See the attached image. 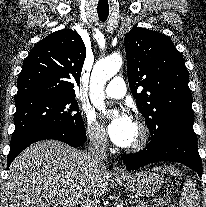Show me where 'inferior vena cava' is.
I'll return each instance as SVG.
<instances>
[{
	"label": "inferior vena cava",
	"mask_w": 206,
	"mask_h": 207,
	"mask_svg": "<svg viewBox=\"0 0 206 207\" xmlns=\"http://www.w3.org/2000/svg\"><path fill=\"white\" fill-rule=\"evenodd\" d=\"M89 140L88 152H86L88 166L94 172L105 171L104 160L107 159V137L105 133L99 130L92 131L89 134ZM81 204L82 207H98L92 199H85Z\"/></svg>",
	"instance_id": "inferior-vena-cava-1"
}]
</instances>
